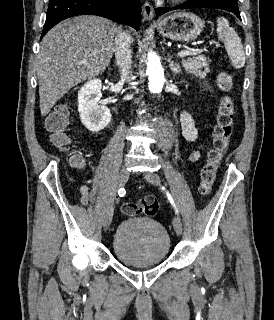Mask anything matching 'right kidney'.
<instances>
[{"mask_svg": "<svg viewBox=\"0 0 274 320\" xmlns=\"http://www.w3.org/2000/svg\"><path fill=\"white\" fill-rule=\"evenodd\" d=\"M102 84L99 78L90 80L78 92V112L80 120L89 132L104 130L112 120V114L107 106H100L99 100Z\"/></svg>", "mask_w": 274, "mask_h": 320, "instance_id": "ca27d5eb", "label": "right kidney"}]
</instances>
